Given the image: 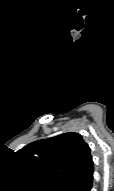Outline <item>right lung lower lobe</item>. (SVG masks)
I'll return each instance as SVG.
<instances>
[{
  "instance_id": "1",
  "label": "right lung lower lobe",
  "mask_w": 114,
  "mask_h": 191,
  "mask_svg": "<svg viewBox=\"0 0 114 191\" xmlns=\"http://www.w3.org/2000/svg\"><path fill=\"white\" fill-rule=\"evenodd\" d=\"M93 183V173L73 178L60 185L57 191H90Z\"/></svg>"
}]
</instances>
